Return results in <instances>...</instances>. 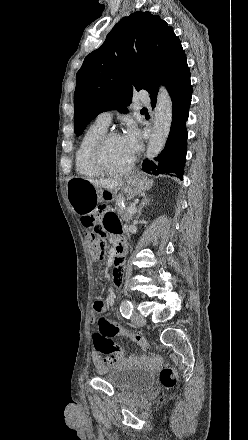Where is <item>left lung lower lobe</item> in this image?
I'll list each match as a JSON object with an SVG mask.
<instances>
[{
	"mask_svg": "<svg viewBox=\"0 0 248 440\" xmlns=\"http://www.w3.org/2000/svg\"><path fill=\"white\" fill-rule=\"evenodd\" d=\"M169 94L172 97L171 129L162 152L155 158L157 163L145 160L142 170L153 175L174 173L182 180L187 148L186 121L192 97L190 78L174 85ZM155 107L156 99L151 101Z\"/></svg>",
	"mask_w": 248,
	"mask_h": 440,
	"instance_id": "obj_1",
	"label": "left lung lower lobe"
}]
</instances>
